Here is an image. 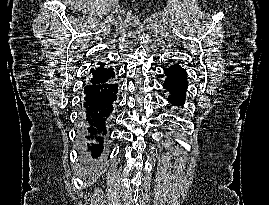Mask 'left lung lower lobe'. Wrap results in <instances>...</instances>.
Returning <instances> with one entry per match:
<instances>
[{"mask_svg":"<svg viewBox=\"0 0 269 205\" xmlns=\"http://www.w3.org/2000/svg\"><path fill=\"white\" fill-rule=\"evenodd\" d=\"M167 78L163 88L170 92L168 101L173 105L183 106L188 88L187 72L180 65L174 64L164 70Z\"/></svg>","mask_w":269,"mask_h":205,"instance_id":"left-lung-lower-lobe-1","label":"left lung lower lobe"}]
</instances>
